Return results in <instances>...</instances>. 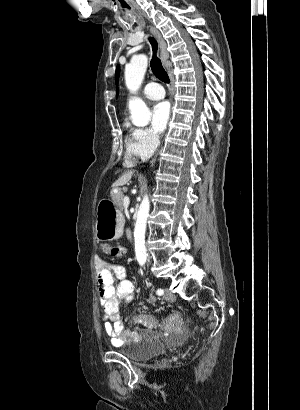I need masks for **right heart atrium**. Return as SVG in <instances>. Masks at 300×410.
<instances>
[{
  "mask_svg": "<svg viewBox=\"0 0 300 410\" xmlns=\"http://www.w3.org/2000/svg\"><path fill=\"white\" fill-rule=\"evenodd\" d=\"M131 140L135 154L141 158L150 157L154 152H156L159 146L158 135L150 129H133Z\"/></svg>",
  "mask_w": 300,
  "mask_h": 410,
  "instance_id": "1",
  "label": "right heart atrium"
}]
</instances>
